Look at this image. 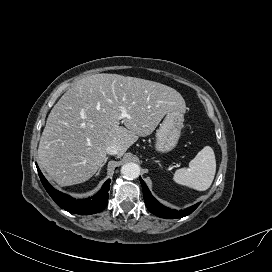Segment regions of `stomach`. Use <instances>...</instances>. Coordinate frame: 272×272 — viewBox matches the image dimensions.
<instances>
[{
	"label": "stomach",
	"instance_id": "stomach-1",
	"mask_svg": "<svg viewBox=\"0 0 272 272\" xmlns=\"http://www.w3.org/2000/svg\"><path fill=\"white\" fill-rule=\"evenodd\" d=\"M184 114L180 111H169L156 132L155 148L158 152H169L178 143L183 127Z\"/></svg>",
	"mask_w": 272,
	"mask_h": 272
}]
</instances>
